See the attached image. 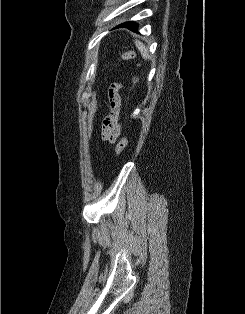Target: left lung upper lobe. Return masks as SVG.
Segmentation results:
<instances>
[{
    "mask_svg": "<svg viewBox=\"0 0 245 314\" xmlns=\"http://www.w3.org/2000/svg\"><path fill=\"white\" fill-rule=\"evenodd\" d=\"M127 24H129V22H127V23H124V24H122V25H120V26H126Z\"/></svg>",
    "mask_w": 245,
    "mask_h": 314,
    "instance_id": "5c2ea615",
    "label": "left lung upper lobe"
}]
</instances>
